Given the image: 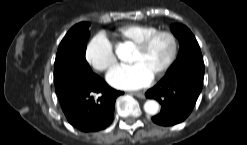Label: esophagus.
Here are the masks:
<instances>
[{"instance_id":"1","label":"esophagus","mask_w":247,"mask_h":145,"mask_svg":"<svg viewBox=\"0 0 247 145\" xmlns=\"http://www.w3.org/2000/svg\"><path fill=\"white\" fill-rule=\"evenodd\" d=\"M132 95L138 97V98H141V99H144L145 98V95L143 92H140V91H137V92H131Z\"/></svg>"}]
</instances>
